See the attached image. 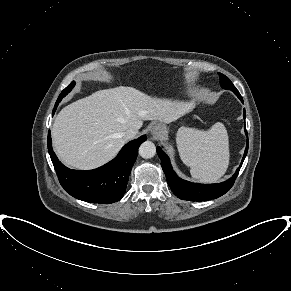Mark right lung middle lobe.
Masks as SVG:
<instances>
[{
    "mask_svg": "<svg viewBox=\"0 0 291 291\" xmlns=\"http://www.w3.org/2000/svg\"><path fill=\"white\" fill-rule=\"evenodd\" d=\"M75 82L73 81V82H71L62 92H61V94L59 95V97H58V99H57V101H56V103H55V107H54V109H53V111H55L56 110V108H57V106H58V104L61 102V100H62V98L63 97H65L71 90H72V88L75 86Z\"/></svg>",
    "mask_w": 291,
    "mask_h": 291,
    "instance_id": "1",
    "label": "right lung middle lobe"
}]
</instances>
